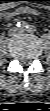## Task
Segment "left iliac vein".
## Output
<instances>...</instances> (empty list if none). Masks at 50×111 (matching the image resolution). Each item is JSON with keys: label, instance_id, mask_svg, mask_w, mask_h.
Returning <instances> with one entry per match:
<instances>
[{"label": "left iliac vein", "instance_id": "1", "mask_svg": "<svg viewBox=\"0 0 50 111\" xmlns=\"http://www.w3.org/2000/svg\"><path fill=\"white\" fill-rule=\"evenodd\" d=\"M19 32H23V30H19Z\"/></svg>", "mask_w": 50, "mask_h": 111}]
</instances>
